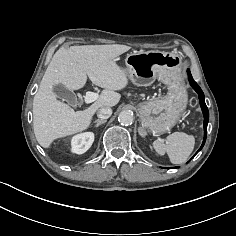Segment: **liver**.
<instances>
[{
    "mask_svg": "<svg viewBox=\"0 0 236 236\" xmlns=\"http://www.w3.org/2000/svg\"><path fill=\"white\" fill-rule=\"evenodd\" d=\"M120 44L81 45L54 54L33 100V129L38 143L49 148L58 138L86 130L95 112L101 107H113L121 98L116 92L128 85V76L115 58L130 50ZM91 82L104 88L97 100L83 111H74L57 99L53 86L64 85L68 90H79Z\"/></svg>",
    "mask_w": 236,
    "mask_h": 236,
    "instance_id": "1",
    "label": "liver"
}]
</instances>
